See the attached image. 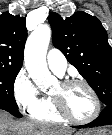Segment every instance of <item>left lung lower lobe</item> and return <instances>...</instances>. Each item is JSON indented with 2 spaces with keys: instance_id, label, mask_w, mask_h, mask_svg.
<instances>
[{
  "instance_id": "1",
  "label": "left lung lower lobe",
  "mask_w": 112,
  "mask_h": 135,
  "mask_svg": "<svg viewBox=\"0 0 112 135\" xmlns=\"http://www.w3.org/2000/svg\"><path fill=\"white\" fill-rule=\"evenodd\" d=\"M103 125H112V105H108L105 109L101 112L100 116L92 121L89 124L81 125V126H74L75 128H87V127H97Z\"/></svg>"
}]
</instances>
